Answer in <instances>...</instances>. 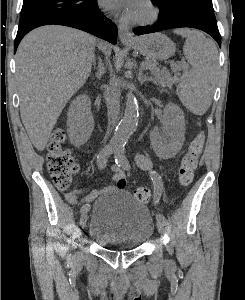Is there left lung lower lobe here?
<instances>
[{"label":"left lung lower lobe","mask_w":245,"mask_h":300,"mask_svg":"<svg viewBox=\"0 0 245 300\" xmlns=\"http://www.w3.org/2000/svg\"><path fill=\"white\" fill-rule=\"evenodd\" d=\"M180 27L200 29L211 35L221 47V35L214 11L193 5H176L166 14H159L158 21L152 26L137 27L134 34L143 35Z\"/></svg>","instance_id":"1"}]
</instances>
